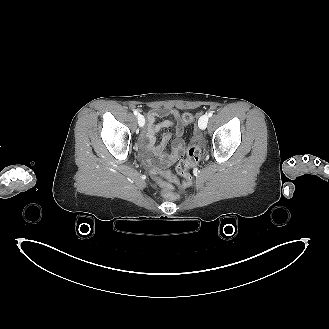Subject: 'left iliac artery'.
I'll return each mask as SVG.
<instances>
[{
    "label": "left iliac artery",
    "instance_id": "left-iliac-artery-1",
    "mask_svg": "<svg viewBox=\"0 0 329 329\" xmlns=\"http://www.w3.org/2000/svg\"><path fill=\"white\" fill-rule=\"evenodd\" d=\"M213 115V111L208 113V116L211 117Z\"/></svg>",
    "mask_w": 329,
    "mask_h": 329
}]
</instances>
